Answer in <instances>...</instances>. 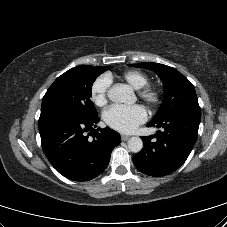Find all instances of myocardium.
Here are the masks:
<instances>
[{
	"label": "myocardium",
	"instance_id": "f54148a6",
	"mask_svg": "<svg viewBox=\"0 0 227 227\" xmlns=\"http://www.w3.org/2000/svg\"><path fill=\"white\" fill-rule=\"evenodd\" d=\"M139 97L148 105L154 106L161 100V92L155 85L146 84L138 92Z\"/></svg>",
	"mask_w": 227,
	"mask_h": 227
}]
</instances>
